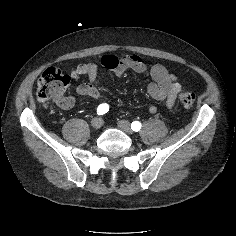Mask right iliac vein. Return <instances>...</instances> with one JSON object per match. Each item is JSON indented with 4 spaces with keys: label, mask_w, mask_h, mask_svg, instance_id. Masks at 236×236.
<instances>
[{
    "label": "right iliac vein",
    "mask_w": 236,
    "mask_h": 236,
    "mask_svg": "<svg viewBox=\"0 0 236 236\" xmlns=\"http://www.w3.org/2000/svg\"><path fill=\"white\" fill-rule=\"evenodd\" d=\"M91 125L94 129H100L102 126V119L97 117L91 121Z\"/></svg>",
    "instance_id": "1"
}]
</instances>
